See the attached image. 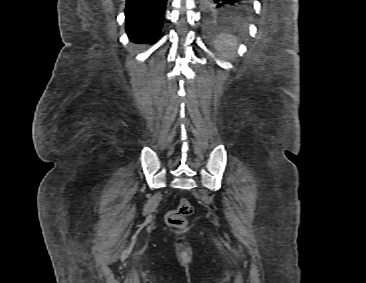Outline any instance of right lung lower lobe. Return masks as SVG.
Returning <instances> with one entry per match:
<instances>
[{"instance_id": "1", "label": "right lung lower lobe", "mask_w": 366, "mask_h": 283, "mask_svg": "<svg viewBox=\"0 0 366 283\" xmlns=\"http://www.w3.org/2000/svg\"><path fill=\"white\" fill-rule=\"evenodd\" d=\"M166 0H127L126 31L133 42L154 44L164 16Z\"/></svg>"}]
</instances>
